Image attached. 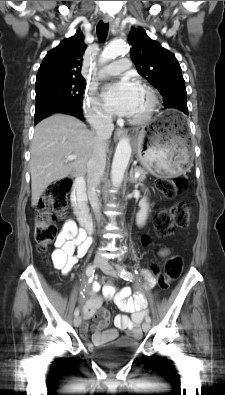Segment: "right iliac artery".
<instances>
[{"mask_svg":"<svg viewBox=\"0 0 225 395\" xmlns=\"http://www.w3.org/2000/svg\"><path fill=\"white\" fill-rule=\"evenodd\" d=\"M94 272H95L94 266L90 265V266L87 267L86 275L89 278V282L92 281V279L94 277ZM74 315H75V317L79 315V309L78 308L74 311Z\"/></svg>","mask_w":225,"mask_h":395,"instance_id":"1","label":"right iliac artery"}]
</instances>
